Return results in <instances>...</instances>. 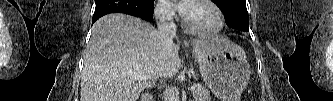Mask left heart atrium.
Here are the masks:
<instances>
[{
    "mask_svg": "<svg viewBox=\"0 0 333 101\" xmlns=\"http://www.w3.org/2000/svg\"><path fill=\"white\" fill-rule=\"evenodd\" d=\"M174 3L176 4V6H177L178 10L181 12V14H184L186 12L187 4L185 2L174 1Z\"/></svg>",
    "mask_w": 333,
    "mask_h": 101,
    "instance_id": "39dd6f15",
    "label": "left heart atrium"
}]
</instances>
